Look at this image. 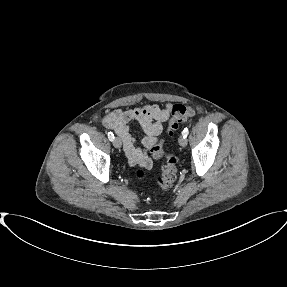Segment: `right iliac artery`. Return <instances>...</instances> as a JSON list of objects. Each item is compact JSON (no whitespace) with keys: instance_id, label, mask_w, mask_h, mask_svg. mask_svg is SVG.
<instances>
[{"instance_id":"obj_1","label":"right iliac artery","mask_w":287,"mask_h":287,"mask_svg":"<svg viewBox=\"0 0 287 287\" xmlns=\"http://www.w3.org/2000/svg\"><path fill=\"white\" fill-rule=\"evenodd\" d=\"M108 138H109L110 141H113V139H114V134H113L112 132H109V133H108Z\"/></svg>"}]
</instances>
